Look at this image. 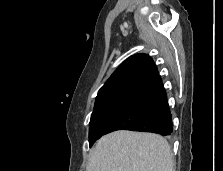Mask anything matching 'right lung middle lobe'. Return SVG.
I'll return each mask as SVG.
<instances>
[{
	"mask_svg": "<svg viewBox=\"0 0 223 171\" xmlns=\"http://www.w3.org/2000/svg\"><path fill=\"white\" fill-rule=\"evenodd\" d=\"M135 98V96L119 95L96 100L89 125L90 146L102 136L104 128Z\"/></svg>",
	"mask_w": 223,
	"mask_h": 171,
	"instance_id": "1",
	"label": "right lung middle lobe"
}]
</instances>
